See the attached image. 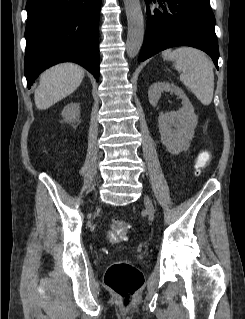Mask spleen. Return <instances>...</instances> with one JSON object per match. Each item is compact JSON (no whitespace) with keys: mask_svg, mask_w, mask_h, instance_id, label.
Returning a JSON list of instances; mask_svg holds the SVG:
<instances>
[{"mask_svg":"<svg viewBox=\"0 0 245 319\" xmlns=\"http://www.w3.org/2000/svg\"><path fill=\"white\" fill-rule=\"evenodd\" d=\"M169 59L182 72V83L203 105H209L213 99L214 73L205 53L193 47H179L170 53Z\"/></svg>","mask_w":245,"mask_h":319,"instance_id":"spleen-1","label":"spleen"}]
</instances>
